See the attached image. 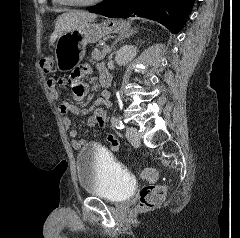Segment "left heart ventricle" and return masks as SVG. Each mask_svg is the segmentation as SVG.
<instances>
[{
  "label": "left heart ventricle",
  "instance_id": "obj_1",
  "mask_svg": "<svg viewBox=\"0 0 240 238\" xmlns=\"http://www.w3.org/2000/svg\"><path fill=\"white\" fill-rule=\"evenodd\" d=\"M71 1H76V2H87V1H90V0H71Z\"/></svg>",
  "mask_w": 240,
  "mask_h": 238
}]
</instances>
